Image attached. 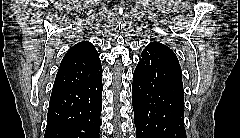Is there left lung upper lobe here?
<instances>
[{
	"instance_id": "obj_1",
	"label": "left lung upper lobe",
	"mask_w": 240,
	"mask_h": 138,
	"mask_svg": "<svg viewBox=\"0 0 240 138\" xmlns=\"http://www.w3.org/2000/svg\"><path fill=\"white\" fill-rule=\"evenodd\" d=\"M156 46H162V47H167L165 45H163L162 43H159V42H151L148 46H146V48L144 49V51H148L149 49L153 48V47H156Z\"/></svg>"
}]
</instances>
